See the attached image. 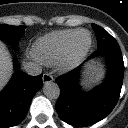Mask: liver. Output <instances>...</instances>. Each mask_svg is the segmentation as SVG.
<instances>
[{
    "instance_id": "obj_1",
    "label": "liver",
    "mask_w": 128,
    "mask_h": 128,
    "mask_svg": "<svg viewBox=\"0 0 128 128\" xmlns=\"http://www.w3.org/2000/svg\"><path fill=\"white\" fill-rule=\"evenodd\" d=\"M92 78L98 79L102 75V68L98 66L89 67ZM12 74V62L10 53L5 44L0 41V90L8 82Z\"/></svg>"
}]
</instances>
